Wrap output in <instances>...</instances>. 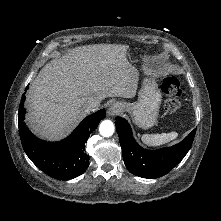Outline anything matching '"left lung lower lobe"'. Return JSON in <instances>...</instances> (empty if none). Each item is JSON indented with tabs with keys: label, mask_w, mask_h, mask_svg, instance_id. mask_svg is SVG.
<instances>
[{
	"label": "left lung lower lobe",
	"mask_w": 221,
	"mask_h": 221,
	"mask_svg": "<svg viewBox=\"0 0 221 221\" xmlns=\"http://www.w3.org/2000/svg\"><path fill=\"white\" fill-rule=\"evenodd\" d=\"M115 125L128 171L142 178H158L170 172L185 157L196 133L194 129L174 146L146 150L134 140L131 127L125 119L117 117Z\"/></svg>",
	"instance_id": "1"
}]
</instances>
